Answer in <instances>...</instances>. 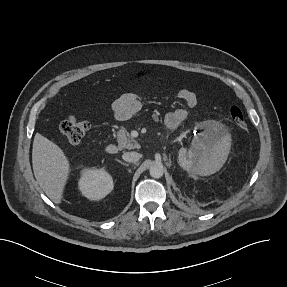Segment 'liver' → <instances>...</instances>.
<instances>
[{
    "mask_svg": "<svg viewBox=\"0 0 287 287\" xmlns=\"http://www.w3.org/2000/svg\"><path fill=\"white\" fill-rule=\"evenodd\" d=\"M35 178L45 194L56 204L63 198L70 174V163L63 150L40 133H36L32 149Z\"/></svg>",
    "mask_w": 287,
    "mask_h": 287,
    "instance_id": "6515ba94",
    "label": "liver"
}]
</instances>
